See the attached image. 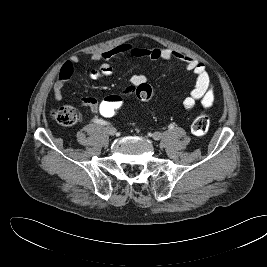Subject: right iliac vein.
<instances>
[{
  "label": "right iliac vein",
  "mask_w": 267,
  "mask_h": 267,
  "mask_svg": "<svg viewBox=\"0 0 267 267\" xmlns=\"http://www.w3.org/2000/svg\"><path fill=\"white\" fill-rule=\"evenodd\" d=\"M105 131L110 136H114L116 134V129L114 127H111V126L106 127Z\"/></svg>",
  "instance_id": "obj_1"
}]
</instances>
